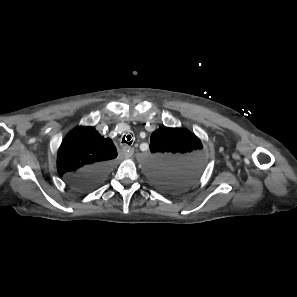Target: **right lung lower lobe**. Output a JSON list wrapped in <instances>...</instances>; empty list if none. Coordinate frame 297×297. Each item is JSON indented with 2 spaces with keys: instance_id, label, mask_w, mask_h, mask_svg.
<instances>
[{
  "instance_id": "98d812e1",
  "label": "right lung lower lobe",
  "mask_w": 297,
  "mask_h": 297,
  "mask_svg": "<svg viewBox=\"0 0 297 297\" xmlns=\"http://www.w3.org/2000/svg\"><path fill=\"white\" fill-rule=\"evenodd\" d=\"M111 164L100 163L87 167L67 178V181L81 191H87L100 185L108 176Z\"/></svg>"
}]
</instances>
